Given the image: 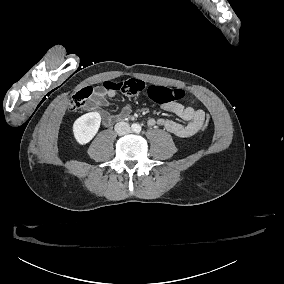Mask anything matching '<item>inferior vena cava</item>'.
<instances>
[{
  "mask_svg": "<svg viewBox=\"0 0 284 284\" xmlns=\"http://www.w3.org/2000/svg\"><path fill=\"white\" fill-rule=\"evenodd\" d=\"M115 131L119 135L129 134L131 132V127L127 122H119L115 125Z\"/></svg>",
  "mask_w": 284,
  "mask_h": 284,
  "instance_id": "obj_1",
  "label": "inferior vena cava"
}]
</instances>
